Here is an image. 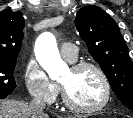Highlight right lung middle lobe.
I'll return each instance as SVG.
<instances>
[{
  "instance_id": "right-lung-middle-lobe-1",
  "label": "right lung middle lobe",
  "mask_w": 133,
  "mask_h": 118,
  "mask_svg": "<svg viewBox=\"0 0 133 118\" xmlns=\"http://www.w3.org/2000/svg\"><path fill=\"white\" fill-rule=\"evenodd\" d=\"M16 60L13 58H0V97L7 96L16 87L13 76Z\"/></svg>"
}]
</instances>
